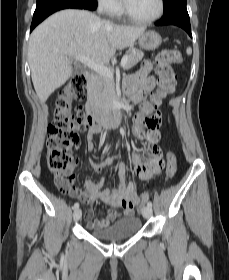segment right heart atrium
<instances>
[{"instance_id": "d8ad5b80", "label": "right heart atrium", "mask_w": 229, "mask_h": 280, "mask_svg": "<svg viewBox=\"0 0 229 280\" xmlns=\"http://www.w3.org/2000/svg\"><path fill=\"white\" fill-rule=\"evenodd\" d=\"M101 9L109 16H117L121 11L120 0H97Z\"/></svg>"}]
</instances>
